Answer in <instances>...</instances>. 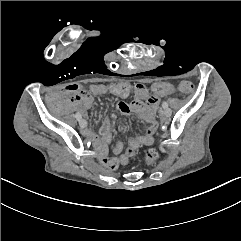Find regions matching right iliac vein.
<instances>
[{
    "label": "right iliac vein",
    "instance_id": "1",
    "mask_svg": "<svg viewBox=\"0 0 241 241\" xmlns=\"http://www.w3.org/2000/svg\"><path fill=\"white\" fill-rule=\"evenodd\" d=\"M79 125L81 128H85L87 126V122L84 119L79 120Z\"/></svg>",
    "mask_w": 241,
    "mask_h": 241
}]
</instances>
